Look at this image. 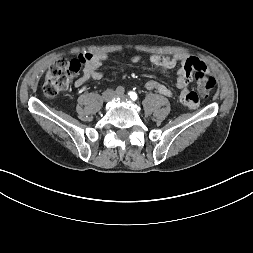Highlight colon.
<instances>
[{
	"mask_svg": "<svg viewBox=\"0 0 253 253\" xmlns=\"http://www.w3.org/2000/svg\"><path fill=\"white\" fill-rule=\"evenodd\" d=\"M90 57V54H86L76 59L57 60L46 74L42 87L43 93L48 97H54L66 89ZM187 65L194 73L198 92L201 95H208L215 86V80L207 73L206 65L196 58H189Z\"/></svg>",
	"mask_w": 253,
	"mask_h": 253,
	"instance_id": "obj_1",
	"label": "colon"
}]
</instances>
